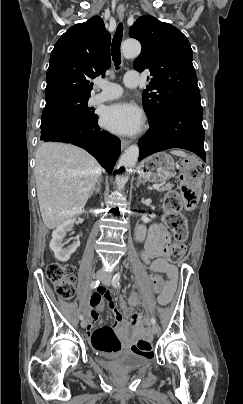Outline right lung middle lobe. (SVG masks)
Instances as JSON below:
<instances>
[{
	"label": "right lung middle lobe",
	"mask_w": 243,
	"mask_h": 404,
	"mask_svg": "<svg viewBox=\"0 0 243 404\" xmlns=\"http://www.w3.org/2000/svg\"><path fill=\"white\" fill-rule=\"evenodd\" d=\"M89 98L90 96L72 97L46 103L42 113L41 127L66 115H78L89 119L98 118L97 115L94 114V108L87 106Z\"/></svg>",
	"instance_id": "1"
}]
</instances>
